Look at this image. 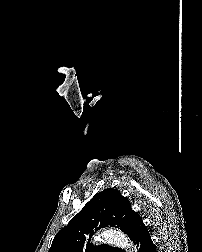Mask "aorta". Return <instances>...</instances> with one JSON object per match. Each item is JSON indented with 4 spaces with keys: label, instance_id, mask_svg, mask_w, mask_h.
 Here are the masks:
<instances>
[{
    "label": "aorta",
    "instance_id": "1",
    "mask_svg": "<svg viewBox=\"0 0 202 252\" xmlns=\"http://www.w3.org/2000/svg\"><path fill=\"white\" fill-rule=\"evenodd\" d=\"M96 241H104L105 243L115 245L117 247H121L123 249L128 250L129 252H133V246L130 243L127 236L118 230L107 229L104 230L98 237Z\"/></svg>",
    "mask_w": 202,
    "mask_h": 252
}]
</instances>
